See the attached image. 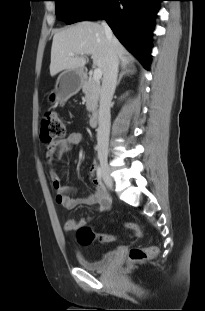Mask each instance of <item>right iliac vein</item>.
Wrapping results in <instances>:
<instances>
[{"label": "right iliac vein", "mask_w": 205, "mask_h": 311, "mask_svg": "<svg viewBox=\"0 0 205 311\" xmlns=\"http://www.w3.org/2000/svg\"><path fill=\"white\" fill-rule=\"evenodd\" d=\"M98 159L102 168L103 179L108 187H112V179L110 176V170L108 166L107 153L105 148L99 147L98 149Z\"/></svg>", "instance_id": "1"}]
</instances>
